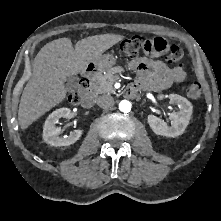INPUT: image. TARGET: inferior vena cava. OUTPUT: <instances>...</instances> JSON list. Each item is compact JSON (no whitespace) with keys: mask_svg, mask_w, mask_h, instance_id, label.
<instances>
[{"mask_svg":"<svg viewBox=\"0 0 221 221\" xmlns=\"http://www.w3.org/2000/svg\"><path fill=\"white\" fill-rule=\"evenodd\" d=\"M97 104L103 109H109L114 105V99L110 95H101L97 98Z\"/></svg>","mask_w":221,"mask_h":221,"instance_id":"inferior-vena-cava-1","label":"inferior vena cava"}]
</instances>
